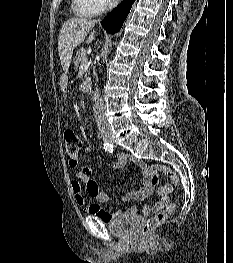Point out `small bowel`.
<instances>
[{
	"mask_svg": "<svg viewBox=\"0 0 233 263\" xmlns=\"http://www.w3.org/2000/svg\"><path fill=\"white\" fill-rule=\"evenodd\" d=\"M132 162L140 172L141 175V187L138 191L127 193L124 195V200H143L154 192V185L152 184V173L151 169L141 160L133 157L126 156L124 154H118L115 157L113 167L115 169H120L126 165L127 162ZM91 169L87 165H83L76 171V176L79 181H73L71 183V189L77 204L83 207L86 213H89L104 222H110L114 220L119 214H111L104 209H102L97 204L87 205L85 197L82 191V182L85 185V189L88 195L93 198L98 203H106L109 200V196L106 192L99 189L96 181L91 178ZM173 191V186L171 184H166L158 189V193L161 195L160 200H158L154 206V211H159L163 209L168 203H170L169 194ZM142 212L148 214L150 212L149 207H144Z\"/></svg>",
	"mask_w": 233,
	"mask_h": 263,
	"instance_id": "c3829d8e",
	"label": "small bowel"
}]
</instances>
